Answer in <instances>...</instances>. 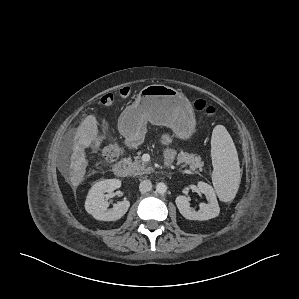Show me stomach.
<instances>
[{
  "instance_id": "0dacf381",
  "label": "stomach",
  "mask_w": 299,
  "mask_h": 299,
  "mask_svg": "<svg viewBox=\"0 0 299 299\" xmlns=\"http://www.w3.org/2000/svg\"><path fill=\"white\" fill-rule=\"evenodd\" d=\"M148 122L171 128L181 140L189 139L196 126L195 113L188 98L162 84L144 87L120 116V123L129 137L143 134Z\"/></svg>"
}]
</instances>
